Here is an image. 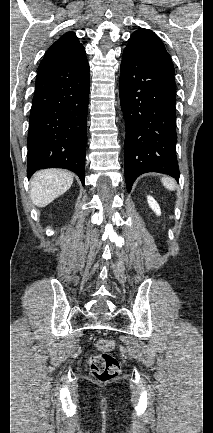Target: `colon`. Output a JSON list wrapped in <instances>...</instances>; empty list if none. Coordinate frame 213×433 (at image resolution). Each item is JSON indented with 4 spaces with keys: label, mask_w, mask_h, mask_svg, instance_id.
Returning a JSON list of instances; mask_svg holds the SVG:
<instances>
[{
    "label": "colon",
    "mask_w": 213,
    "mask_h": 433,
    "mask_svg": "<svg viewBox=\"0 0 213 433\" xmlns=\"http://www.w3.org/2000/svg\"><path fill=\"white\" fill-rule=\"evenodd\" d=\"M115 345V341L112 339L100 338L96 341L95 346L100 354L91 356L88 364L91 374L99 381H110L120 373L119 362L110 353Z\"/></svg>",
    "instance_id": "obj_1"
}]
</instances>
